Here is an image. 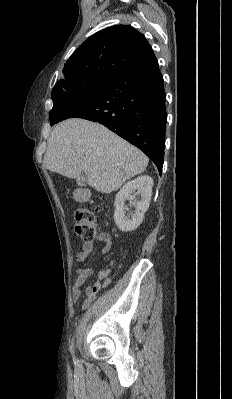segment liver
Returning <instances> with one entry per match:
<instances>
[{"label":"liver","mask_w":232,"mask_h":399,"mask_svg":"<svg viewBox=\"0 0 232 399\" xmlns=\"http://www.w3.org/2000/svg\"><path fill=\"white\" fill-rule=\"evenodd\" d=\"M149 158L104 126L71 118L55 126L44 164L66 178L86 174L89 186L110 194L126 180L145 172Z\"/></svg>","instance_id":"6515ba94"}]
</instances>
